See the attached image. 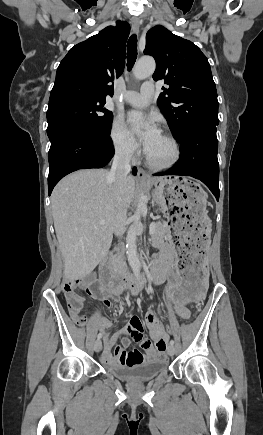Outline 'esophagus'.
<instances>
[{"label": "esophagus", "instance_id": "esophagus-1", "mask_svg": "<svg viewBox=\"0 0 263 435\" xmlns=\"http://www.w3.org/2000/svg\"><path fill=\"white\" fill-rule=\"evenodd\" d=\"M131 24H132L133 31L135 33H138L139 32V28H140V21H139V19L138 18H133L131 20ZM137 177L139 179H141V180H144V181H148L149 180V175L143 169H138Z\"/></svg>", "mask_w": 263, "mask_h": 435}]
</instances>
